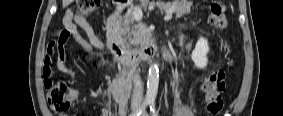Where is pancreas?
<instances>
[{
    "label": "pancreas",
    "instance_id": "obj_1",
    "mask_svg": "<svg viewBox=\"0 0 283 116\" xmlns=\"http://www.w3.org/2000/svg\"><path fill=\"white\" fill-rule=\"evenodd\" d=\"M149 5L157 6L161 11H172L176 17H182L190 13L192 4L188 1L175 0L172 3H164L162 1H152ZM147 4L141 5L138 8H145ZM134 7L130 8L123 17L120 25L116 26L113 30L114 36L123 45H127V41L132 46H139L142 43L140 25L135 23L133 11Z\"/></svg>",
    "mask_w": 283,
    "mask_h": 116
}]
</instances>
